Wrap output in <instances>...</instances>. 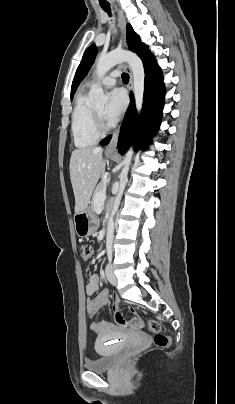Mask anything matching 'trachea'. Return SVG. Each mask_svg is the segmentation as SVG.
I'll list each match as a JSON object with an SVG mask.
<instances>
[{"mask_svg":"<svg viewBox=\"0 0 235 404\" xmlns=\"http://www.w3.org/2000/svg\"><path fill=\"white\" fill-rule=\"evenodd\" d=\"M101 8L108 13V15H111V8L109 4H100ZM122 81L125 83H128L129 81V75L127 73L122 74Z\"/></svg>","mask_w":235,"mask_h":404,"instance_id":"trachea-1","label":"trachea"}]
</instances>
